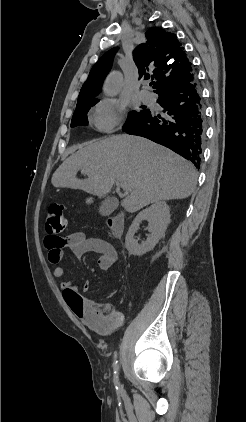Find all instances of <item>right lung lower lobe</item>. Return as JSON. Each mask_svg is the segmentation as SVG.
Returning a JSON list of instances; mask_svg holds the SVG:
<instances>
[{
    "mask_svg": "<svg viewBox=\"0 0 246 422\" xmlns=\"http://www.w3.org/2000/svg\"><path fill=\"white\" fill-rule=\"evenodd\" d=\"M158 95L157 102L167 114L165 118L149 111L146 117L122 130L166 146L200 168L205 120L196 79Z\"/></svg>",
    "mask_w": 246,
    "mask_h": 422,
    "instance_id": "1",
    "label": "right lung lower lobe"
}]
</instances>
